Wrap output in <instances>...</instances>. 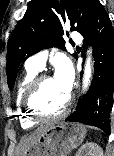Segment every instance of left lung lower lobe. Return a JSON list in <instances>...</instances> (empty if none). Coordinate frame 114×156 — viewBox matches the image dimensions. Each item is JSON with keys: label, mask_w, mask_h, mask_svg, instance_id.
<instances>
[{"label": "left lung lower lobe", "mask_w": 114, "mask_h": 156, "mask_svg": "<svg viewBox=\"0 0 114 156\" xmlns=\"http://www.w3.org/2000/svg\"><path fill=\"white\" fill-rule=\"evenodd\" d=\"M81 34L93 46L95 73L89 91L66 121L96 126L109 134L114 91V30L99 1Z\"/></svg>", "instance_id": "1"}]
</instances>
